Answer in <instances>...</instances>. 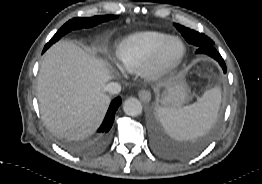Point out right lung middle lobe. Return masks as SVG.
I'll list each match as a JSON object with an SVG mask.
<instances>
[{
    "label": "right lung middle lobe",
    "mask_w": 262,
    "mask_h": 184,
    "mask_svg": "<svg viewBox=\"0 0 262 184\" xmlns=\"http://www.w3.org/2000/svg\"><path fill=\"white\" fill-rule=\"evenodd\" d=\"M115 15H99L90 18H74L65 23L59 31L52 37V39L45 45L44 51L48 49L53 43L59 40L63 35L73 29L88 28L97 25L101 22L116 18Z\"/></svg>",
    "instance_id": "1"
}]
</instances>
